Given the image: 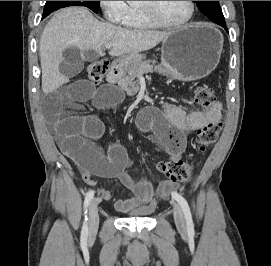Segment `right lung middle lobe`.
<instances>
[{"mask_svg":"<svg viewBox=\"0 0 271 266\" xmlns=\"http://www.w3.org/2000/svg\"><path fill=\"white\" fill-rule=\"evenodd\" d=\"M68 6H85L97 12L100 1H46L42 17L45 18L53 11Z\"/></svg>","mask_w":271,"mask_h":266,"instance_id":"1","label":"right lung middle lobe"}]
</instances>
